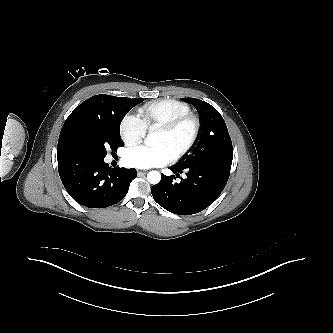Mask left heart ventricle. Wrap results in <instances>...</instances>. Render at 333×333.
I'll use <instances>...</instances> for the list:
<instances>
[{
	"instance_id": "obj_1",
	"label": "left heart ventricle",
	"mask_w": 333,
	"mask_h": 333,
	"mask_svg": "<svg viewBox=\"0 0 333 333\" xmlns=\"http://www.w3.org/2000/svg\"><path fill=\"white\" fill-rule=\"evenodd\" d=\"M191 134V125L185 124L181 126L173 134H166L162 131L157 132L155 145H164L171 155L180 149L189 139Z\"/></svg>"
}]
</instances>
